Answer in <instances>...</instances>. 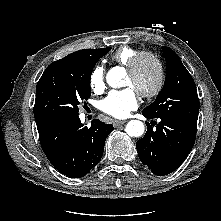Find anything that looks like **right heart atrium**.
<instances>
[{
  "label": "right heart atrium",
  "instance_id": "d8ad5b80",
  "mask_svg": "<svg viewBox=\"0 0 221 221\" xmlns=\"http://www.w3.org/2000/svg\"><path fill=\"white\" fill-rule=\"evenodd\" d=\"M89 85L94 92H101L104 89V69L102 66L94 67L89 76Z\"/></svg>",
  "mask_w": 221,
  "mask_h": 221
}]
</instances>
